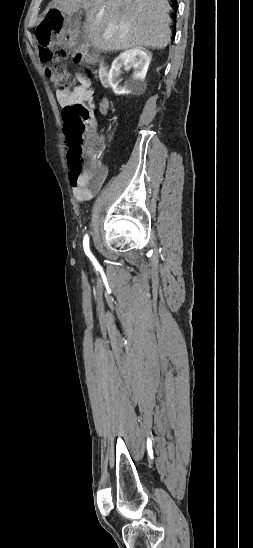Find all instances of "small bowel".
Masks as SVG:
<instances>
[{
  "label": "small bowel",
  "instance_id": "small-bowel-1",
  "mask_svg": "<svg viewBox=\"0 0 253 548\" xmlns=\"http://www.w3.org/2000/svg\"><path fill=\"white\" fill-rule=\"evenodd\" d=\"M79 85L73 90L57 91L56 98L61 106H69L76 103L88 102L93 105V90L88 78L78 74L76 76ZM107 178V170L102 168V173L97 178L85 177L79 182H72V191L76 200L80 203L92 199L101 189Z\"/></svg>",
  "mask_w": 253,
  "mask_h": 548
}]
</instances>
